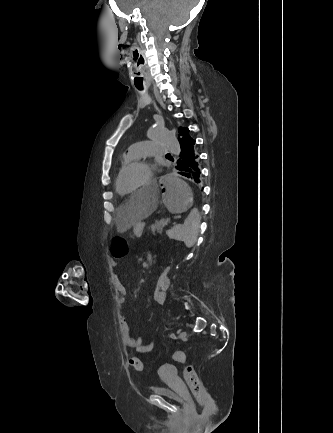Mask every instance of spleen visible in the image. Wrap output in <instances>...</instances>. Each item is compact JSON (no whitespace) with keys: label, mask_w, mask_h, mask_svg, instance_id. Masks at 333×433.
Here are the masks:
<instances>
[{"label":"spleen","mask_w":333,"mask_h":433,"mask_svg":"<svg viewBox=\"0 0 333 433\" xmlns=\"http://www.w3.org/2000/svg\"><path fill=\"white\" fill-rule=\"evenodd\" d=\"M186 183V182H185ZM201 213L197 207H192L191 212L185 219L183 224H175L168 232V236L172 239L183 241L186 247H192L199 234V224Z\"/></svg>","instance_id":"obj_1"}]
</instances>
